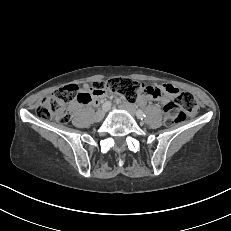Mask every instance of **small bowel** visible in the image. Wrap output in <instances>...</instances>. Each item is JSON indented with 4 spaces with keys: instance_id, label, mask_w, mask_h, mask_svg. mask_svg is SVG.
Here are the masks:
<instances>
[{
    "instance_id": "c3829d8e",
    "label": "small bowel",
    "mask_w": 231,
    "mask_h": 231,
    "mask_svg": "<svg viewBox=\"0 0 231 231\" xmlns=\"http://www.w3.org/2000/svg\"><path fill=\"white\" fill-rule=\"evenodd\" d=\"M82 91L89 95V99L84 102H74L73 108L79 109L81 105H96L100 98L106 97L107 93L93 94L89 86L84 85ZM177 93V88L171 84L147 86L143 94L138 98L137 102L140 105L146 104L151 100H158L162 103H167Z\"/></svg>"
}]
</instances>
